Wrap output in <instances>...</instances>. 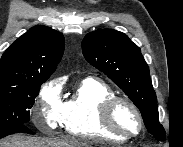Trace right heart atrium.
<instances>
[{"label":"right heart atrium","mask_w":183,"mask_h":147,"mask_svg":"<svg viewBox=\"0 0 183 147\" xmlns=\"http://www.w3.org/2000/svg\"><path fill=\"white\" fill-rule=\"evenodd\" d=\"M63 117L62 83L57 79L50 80L39 91L35 120L47 127L57 128L62 124Z\"/></svg>","instance_id":"obj_1"}]
</instances>
